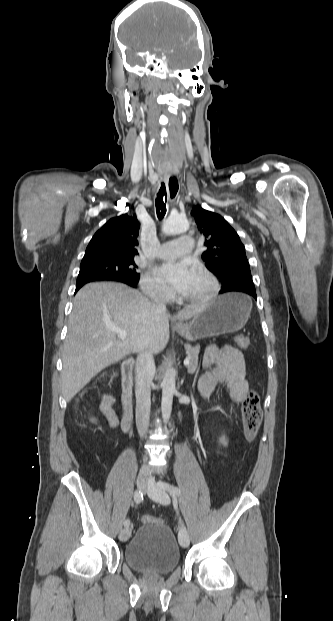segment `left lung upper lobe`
<instances>
[{
	"label": "left lung upper lobe",
	"instance_id": "left-lung-upper-lobe-1",
	"mask_svg": "<svg viewBox=\"0 0 333 621\" xmlns=\"http://www.w3.org/2000/svg\"><path fill=\"white\" fill-rule=\"evenodd\" d=\"M191 215L205 236L207 250L202 258L222 284L220 292L235 286L254 287L245 247L236 231L221 215L201 207H193Z\"/></svg>",
	"mask_w": 333,
	"mask_h": 621
}]
</instances>
